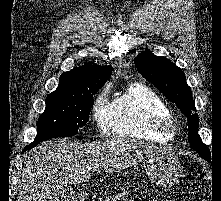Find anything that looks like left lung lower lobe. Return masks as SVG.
I'll return each mask as SVG.
<instances>
[{"instance_id":"1","label":"left lung lower lobe","mask_w":221,"mask_h":201,"mask_svg":"<svg viewBox=\"0 0 221 201\" xmlns=\"http://www.w3.org/2000/svg\"><path fill=\"white\" fill-rule=\"evenodd\" d=\"M208 162H211V159H206Z\"/></svg>"}]
</instances>
